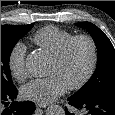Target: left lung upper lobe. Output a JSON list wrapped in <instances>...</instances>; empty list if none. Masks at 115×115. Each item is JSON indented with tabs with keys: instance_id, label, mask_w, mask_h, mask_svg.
Listing matches in <instances>:
<instances>
[{
	"instance_id": "left-lung-upper-lobe-1",
	"label": "left lung upper lobe",
	"mask_w": 115,
	"mask_h": 115,
	"mask_svg": "<svg viewBox=\"0 0 115 115\" xmlns=\"http://www.w3.org/2000/svg\"><path fill=\"white\" fill-rule=\"evenodd\" d=\"M85 28L93 37L98 49V63L89 81L72 97L83 101L99 96H115V50L108 37L94 24H76Z\"/></svg>"
}]
</instances>
